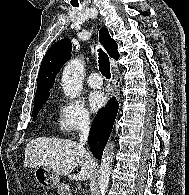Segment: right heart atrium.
I'll return each instance as SVG.
<instances>
[{
	"mask_svg": "<svg viewBox=\"0 0 189 195\" xmlns=\"http://www.w3.org/2000/svg\"><path fill=\"white\" fill-rule=\"evenodd\" d=\"M91 115L78 99H61L58 108L57 129L64 134H74L90 125Z\"/></svg>",
	"mask_w": 189,
	"mask_h": 195,
	"instance_id": "right-heart-atrium-1",
	"label": "right heart atrium"
}]
</instances>
